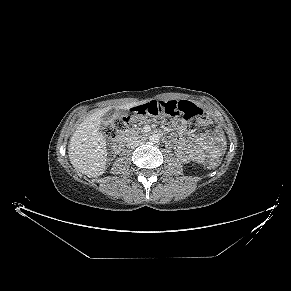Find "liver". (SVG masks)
Masks as SVG:
<instances>
[{
    "instance_id": "obj_1",
    "label": "liver",
    "mask_w": 291,
    "mask_h": 291,
    "mask_svg": "<svg viewBox=\"0 0 291 291\" xmlns=\"http://www.w3.org/2000/svg\"><path fill=\"white\" fill-rule=\"evenodd\" d=\"M131 102L117 106L120 110L144 104ZM112 107H105L89 115L73 133L68 154L73 167L88 177H98L105 171L107 148L104 135L99 131L103 115Z\"/></svg>"
}]
</instances>
